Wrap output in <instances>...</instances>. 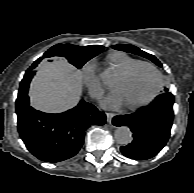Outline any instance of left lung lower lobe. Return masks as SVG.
<instances>
[{"mask_svg":"<svg viewBox=\"0 0 194 193\" xmlns=\"http://www.w3.org/2000/svg\"><path fill=\"white\" fill-rule=\"evenodd\" d=\"M173 95L165 92L150 106L134 113L115 116V126H128L133 140L120 148L131 159L146 160L157 155L166 145L173 123Z\"/></svg>","mask_w":194,"mask_h":193,"instance_id":"obj_1","label":"left lung lower lobe"}]
</instances>
